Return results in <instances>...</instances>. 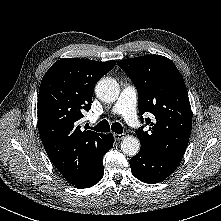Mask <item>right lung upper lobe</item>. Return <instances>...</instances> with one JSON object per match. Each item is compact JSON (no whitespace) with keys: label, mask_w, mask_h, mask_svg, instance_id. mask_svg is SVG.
Wrapping results in <instances>:
<instances>
[{"label":"right lung upper lobe","mask_w":221,"mask_h":221,"mask_svg":"<svg viewBox=\"0 0 221 221\" xmlns=\"http://www.w3.org/2000/svg\"><path fill=\"white\" fill-rule=\"evenodd\" d=\"M116 62L61 59L44 75L38 97L39 133L51 162L72 185L87 177L100 159L106 134L82 131L78 121L91 108L98 80Z\"/></svg>","instance_id":"obj_1"}]
</instances>
